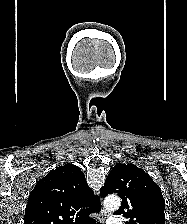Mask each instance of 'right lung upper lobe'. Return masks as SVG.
<instances>
[{
  "instance_id": "obj_1",
  "label": "right lung upper lobe",
  "mask_w": 187,
  "mask_h": 224,
  "mask_svg": "<svg viewBox=\"0 0 187 224\" xmlns=\"http://www.w3.org/2000/svg\"><path fill=\"white\" fill-rule=\"evenodd\" d=\"M101 209L81 169L65 164L50 171L34 187L24 224H94L89 215Z\"/></svg>"
}]
</instances>
